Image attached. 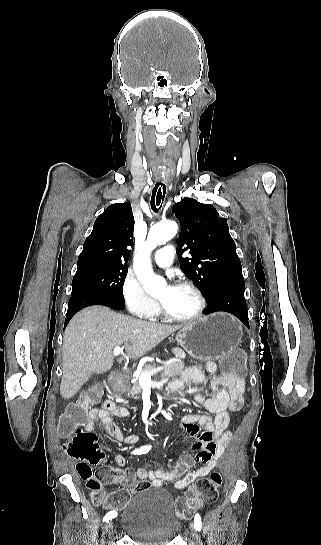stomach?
<instances>
[{"label":"stomach","mask_w":321,"mask_h":545,"mask_svg":"<svg viewBox=\"0 0 321 545\" xmlns=\"http://www.w3.org/2000/svg\"><path fill=\"white\" fill-rule=\"evenodd\" d=\"M240 321L229 313H213L179 329L176 341L194 359H221L241 343Z\"/></svg>","instance_id":"1"}]
</instances>
